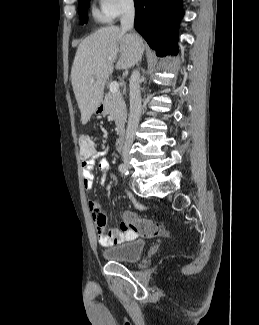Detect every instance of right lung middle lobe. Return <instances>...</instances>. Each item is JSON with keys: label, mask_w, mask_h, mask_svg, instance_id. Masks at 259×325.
I'll use <instances>...</instances> for the list:
<instances>
[{"label": "right lung middle lobe", "mask_w": 259, "mask_h": 325, "mask_svg": "<svg viewBox=\"0 0 259 325\" xmlns=\"http://www.w3.org/2000/svg\"><path fill=\"white\" fill-rule=\"evenodd\" d=\"M89 2L90 0H78L79 15L82 24L87 23L88 21L87 14Z\"/></svg>", "instance_id": "right-lung-middle-lobe-1"}]
</instances>
